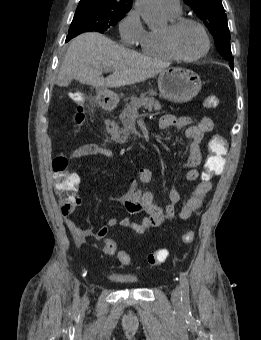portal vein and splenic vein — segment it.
<instances>
[{"label":"portal vein and splenic vein","instance_id":"obj_1","mask_svg":"<svg viewBox=\"0 0 261 340\" xmlns=\"http://www.w3.org/2000/svg\"><path fill=\"white\" fill-rule=\"evenodd\" d=\"M106 72H111L112 70L111 69H105Z\"/></svg>","mask_w":261,"mask_h":340}]
</instances>
